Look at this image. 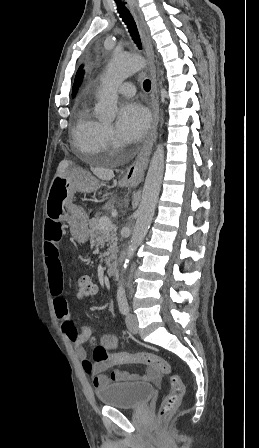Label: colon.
Returning a JSON list of instances; mask_svg holds the SVG:
<instances>
[{"label":"colon","instance_id":"5ec220e1","mask_svg":"<svg viewBox=\"0 0 259 448\" xmlns=\"http://www.w3.org/2000/svg\"><path fill=\"white\" fill-rule=\"evenodd\" d=\"M76 293L78 298L85 299L97 294V286L93 280L82 275L76 279ZM96 362H111L113 365L125 363H144L156 367L162 374L170 378V390L163 399L158 413V427L162 428L168 417L178 408L184 395V385L172 366L163 358L150 353H117L110 354L108 350L97 345L93 350Z\"/></svg>","mask_w":259,"mask_h":448}]
</instances>
